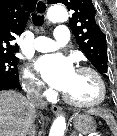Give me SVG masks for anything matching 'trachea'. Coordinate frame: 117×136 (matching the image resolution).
<instances>
[{
	"mask_svg": "<svg viewBox=\"0 0 117 136\" xmlns=\"http://www.w3.org/2000/svg\"><path fill=\"white\" fill-rule=\"evenodd\" d=\"M40 12V11H39ZM32 21L35 26H42L44 23V16L41 14H32Z\"/></svg>",
	"mask_w": 117,
	"mask_h": 136,
	"instance_id": "3493384b",
	"label": "trachea"
}]
</instances>
